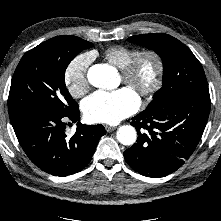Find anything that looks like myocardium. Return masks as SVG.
Wrapping results in <instances>:
<instances>
[{"label": "myocardium", "mask_w": 221, "mask_h": 221, "mask_svg": "<svg viewBox=\"0 0 221 221\" xmlns=\"http://www.w3.org/2000/svg\"><path fill=\"white\" fill-rule=\"evenodd\" d=\"M146 58H150L154 61L155 75L153 81L148 86L138 88V94L144 99H149L160 90L164 79V61L158 52L150 49L139 51L129 63L121 69V74L125 84L134 86L139 66Z\"/></svg>", "instance_id": "obj_1"}]
</instances>
